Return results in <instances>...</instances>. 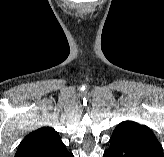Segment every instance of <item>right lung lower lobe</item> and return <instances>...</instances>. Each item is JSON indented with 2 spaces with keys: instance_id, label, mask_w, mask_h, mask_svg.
Listing matches in <instances>:
<instances>
[{
  "instance_id": "98d812e1",
  "label": "right lung lower lobe",
  "mask_w": 164,
  "mask_h": 157,
  "mask_svg": "<svg viewBox=\"0 0 164 157\" xmlns=\"http://www.w3.org/2000/svg\"><path fill=\"white\" fill-rule=\"evenodd\" d=\"M32 157H74L71 152L66 149L62 141H58L43 151L33 155Z\"/></svg>"
}]
</instances>
